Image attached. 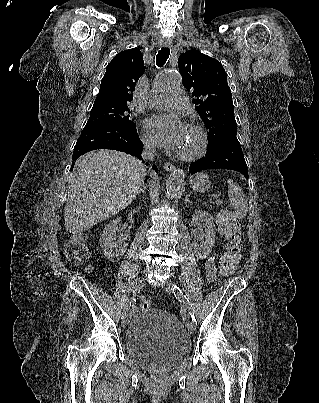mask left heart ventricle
<instances>
[{
    "mask_svg": "<svg viewBox=\"0 0 319 403\" xmlns=\"http://www.w3.org/2000/svg\"><path fill=\"white\" fill-rule=\"evenodd\" d=\"M197 144H198V140H197L196 135L188 129L186 131L185 141H184L183 145L181 146V148L179 149V151L184 152V153L193 152L196 149Z\"/></svg>",
    "mask_w": 319,
    "mask_h": 403,
    "instance_id": "obj_1",
    "label": "left heart ventricle"
}]
</instances>
